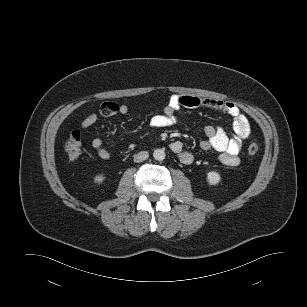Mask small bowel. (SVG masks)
<instances>
[{"label":"small bowel","mask_w":307,"mask_h":307,"mask_svg":"<svg viewBox=\"0 0 307 307\" xmlns=\"http://www.w3.org/2000/svg\"><path fill=\"white\" fill-rule=\"evenodd\" d=\"M181 107H207L230 115L234 122V136L230 138L223 129L208 125L204 128L203 133L205 138L200 142V147L203 150L213 149L219 152L220 160L226 166L235 167L239 165V153L243 141L249 137L251 132L249 121L245 115L241 113L239 107L230 101L200 98L192 95H172L168 104L164 107L163 112L154 115L150 119L151 126L154 128H164L176 124L178 121L176 111ZM99 112L105 117H111L116 114L125 115L129 112V106L127 104H117L115 102H104L101 104ZM97 120L98 115L96 113H91L82 120L81 127L83 129H88L92 127ZM91 145L100 159L105 161L110 160L111 154L104 147L102 139H93ZM170 148L183 164L188 165L192 163L193 154L185 150L182 142L174 141L171 143Z\"/></svg>","instance_id":"small-bowel-1"}]
</instances>
